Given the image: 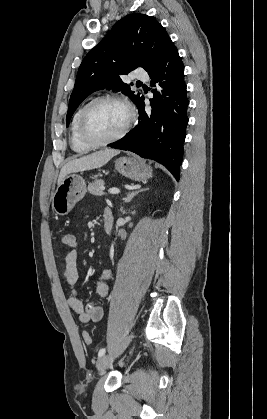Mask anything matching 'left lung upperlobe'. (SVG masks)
Returning <instances> with one entry per match:
<instances>
[{"instance_id": "obj_1", "label": "left lung upper lobe", "mask_w": 267, "mask_h": 419, "mask_svg": "<svg viewBox=\"0 0 267 419\" xmlns=\"http://www.w3.org/2000/svg\"><path fill=\"white\" fill-rule=\"evenodd\" d=\"M170 40L162 25L145 14H129L119 20L79 67L70 96L67 126L80 103L97 90L121 91L136 104L141 94L132 91L121 76L137 67L148 72L160 60Z\"/></svg>"}]
</instances>
